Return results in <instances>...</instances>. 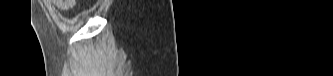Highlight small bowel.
Segmentation results:
<instances>
[{
	"label": "small bowel",
	"instance_id": "small-bowel-1",
	"mask_svg": "<svg viewBox=\"0 0 333 76\" xmlns=\"http://www.w3.org/2000/svg\"><path fill=\"white\" fill-rule=\"evenodd\" d=\"M51 7L56 11H67L78 6L76 0H50L48 1Z\"/></svg>",
	"mask_w": 333,
	"mask_h": 76
}]
</instances>
